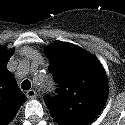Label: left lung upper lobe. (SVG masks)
I'll return each instance as SVG.
<instances>
[{
	"label": "left lung upper lobe",
	"mask_w": 125,
	"mask_h": 125,
	"mask_svg": "<svg viewBox=\"0 0 125 125\" xmlns=\"http://www.w3.org/2000/svg\"><path fill=\"white\" fill-rule=\"evenodd\" d=\"M49 71L58 83L57 95L45 103L58 125H88L98 116L108 96L106 73L95 57L70 43L46 47Z\"/></svg>",
	"instance_id": "obj_1"
}]
</instances>
